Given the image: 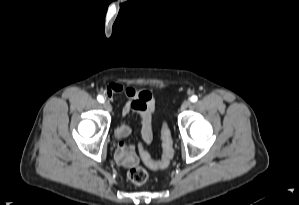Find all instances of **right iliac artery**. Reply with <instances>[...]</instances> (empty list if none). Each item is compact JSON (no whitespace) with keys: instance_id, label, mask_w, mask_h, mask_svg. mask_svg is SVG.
Listing matches in <instances>:
<instances>
[{"instance_id":"1","label":"right iliac artery","mask_w":299,"mask_h":205,"mask_svg":"<svg viewBox=\"0 0 299 205\" xmlns=\"http://www.w3.org/2000/svg\"><path fill=\"white\" fill-rule=\"evenodd\" d=\"M97 100H98L99 102H101V103L104 102V98H103L101 95H98V96H97Z\"/></svg>"}]
</instances>
